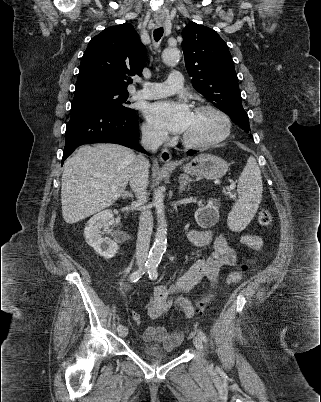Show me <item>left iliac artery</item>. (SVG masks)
Masks as SVG:
<instances>
[{
  "instance_id": "left-iliac-artery-1",
  "label": "left iliac artery",
  "mask_w": 321,
  "mask_h": 402,
  "mask_svg": "<svg viewBox=\"0 0 321 402\" xmlns=\"http://www.w3.org/2000/svg\"><path fill=\"white\" fill-rule=\"evenodd\" d=\"M148 274H149V277H150L151 279H156L157 276H158V273H157V265H156V266H155V265L151 266L150 269L148 270ZM198 335H199V337H200L204 342L207 341L206 334H205L203 331L198 330Z\"/></svg>"
}]
</instances>
